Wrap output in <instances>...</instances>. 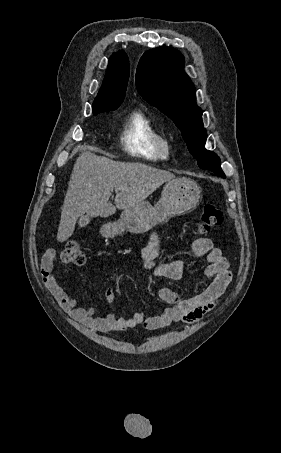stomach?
I'll use <instances>...</instances> for the list:
<instances>
[{"instance_id":"0dacf381","label":"stomach","mask_w":281,"mask_h":453,"mask_svg":"<svg viewBox=\"0 0 281 453\" xmlns=\"http://www.w3.org/2000/svg\"><path fill=\"white\" fill-rule=\"evenodd\" d=\"M201 192V186L191 178L183 176L166 180L161 196L154 206L148 200H142L131 208H124L119 220L103 224L101 235L106 239H112L123 231H130L136 235L148 233L155 224L167 222L171 216H179L194 210L202 198Z\"/></svg>"}]
</instances>
